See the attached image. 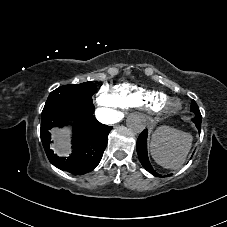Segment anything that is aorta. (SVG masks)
I'll return each mask as SVG.
<instances>
[{
  "label": "aorta",
  "instance_id": "obj_1",
  "mask_svg": "<svg viewBox=\"0 0 227 227\" xmlns=\"http://www.w3.org/2000/svg\"><path fill=\"white\" fill-rule=\"evenodd\" d=\"M127 126L134 133H141L146 127V120L141 114H131L127 118Z\"/></svg>",
  "mask_w": 227,
  "mask_h": 227
}]
</instances>
